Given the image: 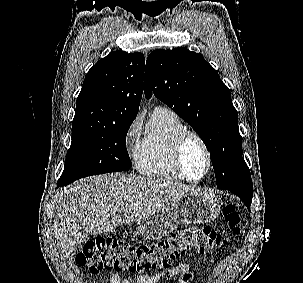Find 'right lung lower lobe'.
Masks as SVG:
<instances>
[{"label": "right lung lower lobe", "mask_w": 303, "mask_h": 283, "mask_svg": "<svg viewBox=\"0 0 303 283\" xmlns=\"http://www.w3.org/2000/svg\"><path fill=\"white\" fill-rule=\"evenodd\" d=\"M63 185H67V184L64 181L59 179L58 182H57V187L63 186Z\"/></svg>", "instance_id": "1"}]
</instances>
